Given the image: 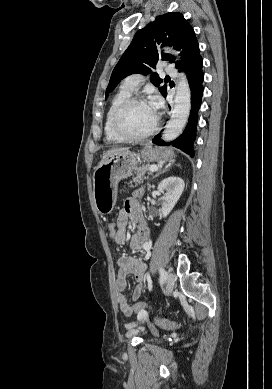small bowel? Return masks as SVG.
I'll return each mask as SVG.
<instances>
[{"label": "small bowel", "mask_w": 272, "mask_h": 389, "mask_svg": "<svg viewBox=\"0 0 272 389\" xmlns=\"http://www.w3.org/2000/svg\"><path fill=\"white\" fill-rule=\"evenodd\" d=\"M133 221L137 225V232L130 239V246L134 251H140L142 246L148 239V231L144 225L141 209L137 200V196L129 197L120 210L117 217L118 233L114 236V240L118 244H123L127 241L126 228L129 221ZM119 267L118 276L115 282L117 294V303L121 312L126 316H131L134 308L127 301L124 292L127 287V276L132 275L136 282V287L132 294L133 301H138L141 291L144 287L146 279V264L141 258L134 256H123L117 260Z\"/></svg>", "instance_id": "c3829d8e"}]
</instances>
